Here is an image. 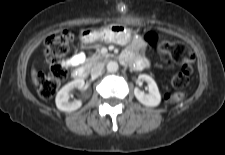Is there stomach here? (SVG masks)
Masks as SVG:
<instances>
[{"label": "stomach", "mask_w": 225, "mask_h": 155, "mask_svg": "<svg viewBox=\"0 0 225 155\" xmlns=\"http://www.w3.org/2000/svg\"><path fill=\"white\" fill-rule=\"evenodd\" d=\"M131 36L130 29L118 24H112L100 30H84L81 32V39L85 43L102 40L107 43L126 45L130 42Z\"/></svg>", "instance_id": "0dacf381"}]
</instances>
